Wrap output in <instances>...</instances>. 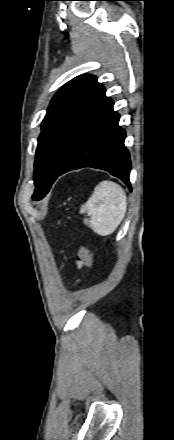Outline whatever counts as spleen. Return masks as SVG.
Wrapping results in <instances>:
<instances>
[{
  "mask_svg": "<svg viewBox=\"0 0 174 440\" xmlns=\"http://www.w3.org/2000/svg\"><path fill=\"white\" fill-rule=\"evenodd\" d=\"M127 211V197L123 188L113 181H101L81 212L91 214L85 223L98 235L112 234L122 222Z\"/></svg>",
  "mask_w": 174,
  "mask_h": 440,
  "instance_id": "3e777b00",
  "label": "spleen"
}]
</instances>
